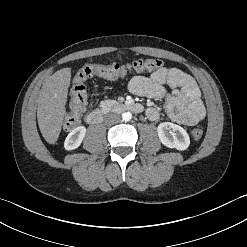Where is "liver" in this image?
Masks as SVG:
<instances>
[{
    "mask_svg": "<svg viewBox=\"0 0 247 247\" xmlns=\"http://www.w3.org/2000/svg\"><path fill=\"white\" fill-rule=\"evenodd\" d=\"M70 79V68L56 71L45 81L38 98V125L43 138L49 144H55L61 132Z\"/></svg>",
    "mask_w": 247,
    "mask_h": 247,
    "instance_id": "1",
    "label": "liver"
}]
</instances>
